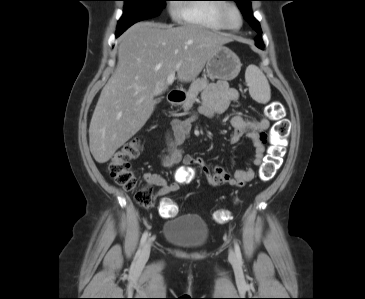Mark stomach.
Wrapping results in <instances>:
<instances>
[{"mask_svg":"<svg viewBox=\"0 0 365 299\" xmlns=\"http://www.w3.org/2000/svg\"><path fill=\"white\" fill-rule=\"evenodd\" d=\"M240 70L239 57L225 46L214 51L206 64V73L210 79L233 80Z\"/></svg>","mask_w":365,"mask_h":299,"instance_id":"obj_1","label":"stomach"}]
</instances>
